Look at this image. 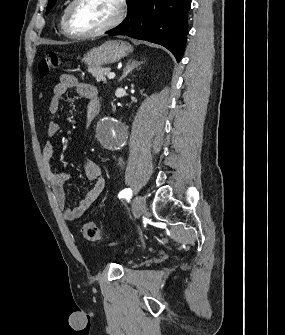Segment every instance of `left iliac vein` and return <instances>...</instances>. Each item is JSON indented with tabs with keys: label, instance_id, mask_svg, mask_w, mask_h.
Returning <instances> with one entry per match:
<instances>
[{
	"label": "left iliac vein",
	"instance_id": "4c4485c4",
	"mask_svg": "<svg viewBox=\"0 0 285 335\" xmlns=\"http://www.w3.org/2000/svg\"><path fill=\"white\" fill-rule=\"evenodd\" d=\"M132 213L135 218L146 214V201L143 196L139 195L134 199Z\"/></svg>",
	"mask_w": 285,
	"mask_h": 335
}]
</instances>
